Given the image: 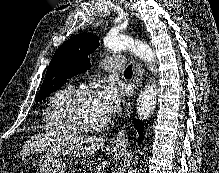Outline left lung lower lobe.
<instances>
[{
  "label": "left lung lower lobe",
  "instance_id": "obj_1",
  "mask_svg": "<svg viewBox=\"0 0 219 173\" xmlns=\"http://www.w3.org/2000/svg\"><path fill=\"white\" fill-rule=\"evenodd\" d=\"M135 126H138V132H139V143L142 142L143 140V123L142 122H135L134 123Z\"/></svg>",
  "mask_w": 219,
  "mask_h": 173
}]
</instances>
